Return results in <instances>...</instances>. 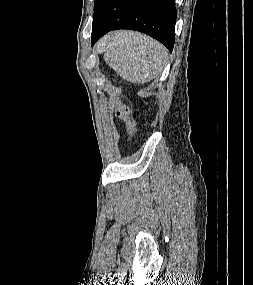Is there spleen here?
Segmentation results:
<instances>
[{"label":"spleen","mask_w":253,"mask_h":285,"mask_svg":"<svg viewBox=\"0 0 253 285\" xmlns=\"http://www.w3.org/2000/svg\"><path fill=\"white\" fill-rule=\"evenodd\" d=\"M105 49V62L131 83H144L155 78L168 62V53L162 44L132 31L111 35Z\"/></svg>","instance_id":"obj_1"}]
</instances>
